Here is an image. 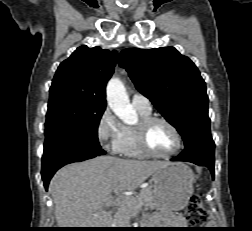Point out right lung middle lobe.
Instances as JSON below:
<instances>
[{
    "label": "right lung middle lobe",
    "instance_id": "obj_1",
    "mask_svg": "<svg viewBox=\"0 0 252 231\" xmlns=\"http://www.w3.org/2000/svg\"><path fill=\"white\" fill-rule=\"evenodd\" d=\"M105 108L66 98L49 100L44 152L65 144L100 147L97 130Z\"/></svg>",
    "mask_w": 252,
    "mask_h": 231
}]
</instances>
